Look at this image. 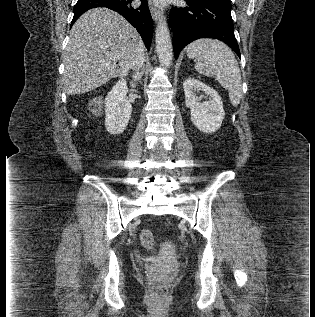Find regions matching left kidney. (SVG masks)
I'll return each mask as SVG.
<instances>
[{"label":"left kidney","mask_w":315,"mask_h":317,"mask_svg":"<svg viewBox=\"0 0 315 317\" xmlns=\"http://www.w3.org/2000/svg\"><path fill=\"white\" fill-rule=\"evenodd\" d=\"M186 107L190 108L191 121L200 131L212 133L217 131L225 117L223 103L218 92L202 83L189 77L183 83ZM203 92L210 97L209 101L199 102L197 93Z\"/></svg>","instance_id":"obj_1"}]
</instances>
